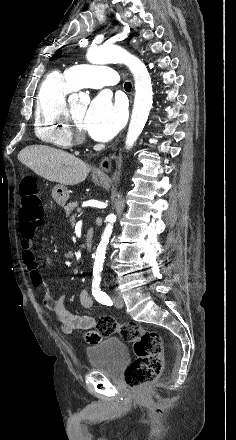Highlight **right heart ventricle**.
<instances>
[{
	"label": "right heart ventricle",
	"mask_w": 236,
	"mask_h": 440,
	"mask_svg": "<svg viewBox=\"0 0 236 440\" xmlns=\"http://www.w3.org/2000/svg\"><path fill=\"white\" fill-rule=\"evenodd\" d=\"M74 87L66 76L50 73L43 80L35 103V134L43 142L59 149L71 147L73 139L65 119L66 96Z\"/></svg>",
	"instance_id": "right-heart-ventricle-1"
}]
</instances>
